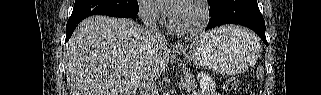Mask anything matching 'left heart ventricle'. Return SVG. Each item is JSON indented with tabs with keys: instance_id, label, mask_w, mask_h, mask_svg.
<instances>
[{
	"instance_id": "left-heart-ventricle-1",
	"label": "left heart ventricle",
	"mask_w": 321,
	"mask_h": 95,
	"mask_svg": "<svg viewBox=\"0 0 321 95\" xmlns=\"http://www.w3.org/2000/svg\"><path fill=\"white\" fill-rule=\"evenodd\" d=\"M173 24L180 29H188L196 26L200 21L198 7L193 4L179 6L171 16Z\"/></svg>"
}]
</instances>
